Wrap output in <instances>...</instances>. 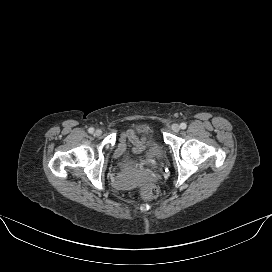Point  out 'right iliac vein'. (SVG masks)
<instances>
[{"instance_id":"1","label":"right iliac vein","mask_w":272,"mask_h":272,"mask_svg":"<svg viewBox=\"0 0 272 272\" xmlns=\"http://www.w3.org/2000/svg\"><path fill=\"white\" fill-rule=\"evenodd\" d=\"M102 134V130L101 129H97L96 131H95V135L96 136H100Z\"/></svg>"}]
</instances>
